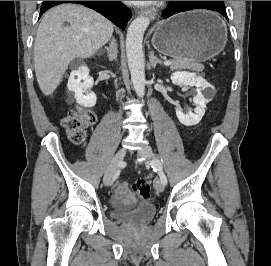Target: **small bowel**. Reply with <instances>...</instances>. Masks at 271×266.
I'll list each match as a JSON object with an SVG mask.
<instances>
[{"label":"small bowel","instance_id":"small-bowel-1","mask_svg":"<svg viewBox=\"0 0 271 266\" xmlns=\"http://www.w3.org/2000/svg\"><path fill=\"white\" fill-rule=\"evenodd\" d=\"M111 201L116 207H124L135 203L137 198L130 191L128 184L123 182L114 190Z\"/></svg>","mask_w":271,"mask_h":266}]
</instances>
